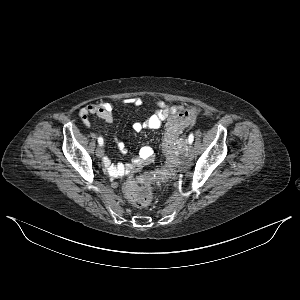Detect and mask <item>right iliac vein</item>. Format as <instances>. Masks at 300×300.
<instances>
[{
    "label": "right iliac vein",
    "mask_w": 300,
    "mask_h": 300,
    "mask_svg": "<svg viewBox=\"0 0 300 300\" xmlns=\"http://www.w3.org/2000/svg\"><path fill=\"white\" fill-rule=\"evenodd\" d=\"M104 155V149L102 146H99L97 149H96V156L98 158H102Z\"/></svg>",
    "instance_id": "1"
}]
</instances>
